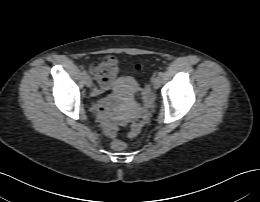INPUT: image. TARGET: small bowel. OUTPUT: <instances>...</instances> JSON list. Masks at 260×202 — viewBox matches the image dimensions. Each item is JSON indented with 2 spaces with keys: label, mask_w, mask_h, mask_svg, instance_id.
<instances>
[{
  "label": "small bowel",
  "mask_w": 260,
  "mask_h": 202,
  "mask_svg": "<svg viewBox=\"0 0 260 202\" xmlns=\"http://www.w3.org/2000/svg\"><path fill=\"white\" fill-rule=\"evenodd\" d=\"M113 82L100 83V87L93 91L95 98L101 97L105 92L112 90ZM119 102L115 94L100 98L93 104L98 121L108 137H115L120 128L125 126L130 120V111L123 105L118 104L116 111H112V106Z\"/></svg>",
  "instance_id": "c3829d8e"
}]
</instances>
